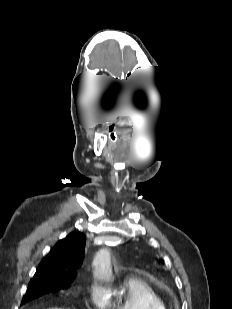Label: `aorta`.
I'll use <instances>...</instances> for the list:
<instances>
[{
    "instance_id": "obj_1",
    "label": "aorta",
    "mask_w": 232,
    "mask_h": 309,
    "mask_svg": "<svg viewBox=\"0 0 232 309\" xmlns=\"http://www.w3.org/2000/svg\"><path fill=\"white\" fill-rule=\"evenodd\" d=\"M93 266L95 274L103 279H110L112 270L110 263V252L108 249H101L95 256Z\"/></svg>"
}]
</instances>
